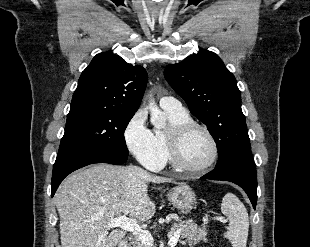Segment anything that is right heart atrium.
I'll list each match as a JSON object with an SVG mask.
<instances>
[{"label":"right heart atrium","instance_id":"1","mask_svg":"<svg viewBox=\"0 0 310 247\" xmlns=\"http://www.w3.org/2000/svg\"><path fill=\"white\" fill-rule=\"evenodd\" d=\"M146 121V112L137 111L124 128V141L132 155L146 168L160 170L164 166L160 150Z\"/></svg>","mask_w":310,"mask_h":247}]
</instances>
